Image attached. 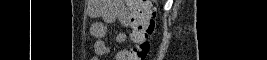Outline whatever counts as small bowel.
I'll return each instance as SVG.
<instances>
[{
  "instance_id": "small-bowel-1",
  "label": "small bowel",
  "mask_w": 267,
  "mask_h": 60,
  "mask_svg": "<svg viewBox=\"0 0 267 60\" xmlns=\"http://www.w3.org/2000/svg\"><path fill=\"white\" fill-rule=\"evenodd\" d=\"M128 4L123 0H90L88 13L92 18H100L90 27V33L94 38V52L98 60L99 56L108 55L110 48L107 46L106 37L108 34L107 24L118 21L124 26L131 27V40L136 42L137 34L133 30L132 16ZM127 41V34H117L116 42L123 44ZM116 60H133V48L123 49L116 55Z\"/></svg>"
}]
</instances>
